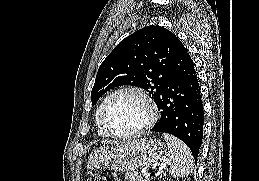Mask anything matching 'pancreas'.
<instances>
[{
	"label": "pancreas",
	"mask_w": 259,
	"mask_h": 181,
	"mask_svg": "<svg viewBox=\"0 0 259 181\" xmlns=\"http://www.w3.org/2000/svg\"><path fill=\"white\" fill-rule=\"evenodd\" d=\"M125 179L128 181H144L142 176L138 172H128L125 175Z\"/></svg>",
	"instance_id": "obj_1"
}]
</instances>
